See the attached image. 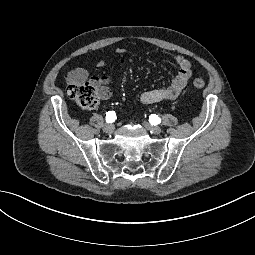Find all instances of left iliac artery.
Returning <instances> with one entry per match:
<instances>
[{
  "mask_svg": "<svg viewBox=\"0 0 255 255\" xmlns=\"http://www.w3.org/2000/svg\"><path fill=\"white\" fill-rule=\"evenodd\" d=\"M149 122L152 124V125H157L161 122V119L158 117V115L156 114H151L149 116Z\"/></svg>",
  "mask_w": 255,
  "mask_h": 255,
  "instance_id": "obj_1",
  "label": "left iliac artery"
}]
</instances>
